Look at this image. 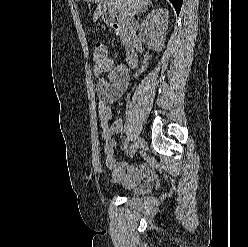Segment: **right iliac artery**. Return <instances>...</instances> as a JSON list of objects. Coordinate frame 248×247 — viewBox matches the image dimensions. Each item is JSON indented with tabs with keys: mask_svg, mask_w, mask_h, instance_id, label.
Masks as SVG:
<instances>
[{
	"mask_svg": "<svg viewBox=\"0 0 248 247\" xmlns=\"http://www.w3.org/2000/svg\"><path fill=\"white\" fill-rule=\"evenodd\" d=\"M128 144H129V141H128V140H126V141H125V146H124V148H125V149H127Z\"/></svg>",
	"mask_w": 248,
	"mask_h": 247,
	"instance_id": "82829eb1",
	"label": "right iliac artery"
}]
</instances>
